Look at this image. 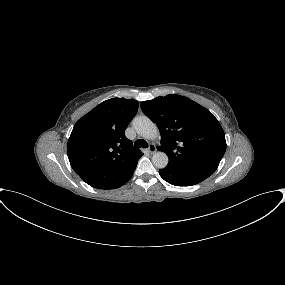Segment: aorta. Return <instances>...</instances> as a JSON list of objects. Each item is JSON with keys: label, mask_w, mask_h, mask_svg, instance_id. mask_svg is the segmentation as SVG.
I'll use <instances>...</instances> for the list:
<instances>
[{"label": "aorta", "mask_w": 285, "mask_h": 285, "mask_svg": "<svg viewBox=\"0 0 285 285\" xmlns=\"http://www.w3.org/2000/svg\"><path fill=\"white\" fill-rule=\"evenodd\" d=\"M133 127L136 132L146 138L155 139L159 136V130L155 123H153L146 116H138L133 120ZM168 156L165 152H155L152 156V162L157 168H165L168 164Z\"/></svg>", "instance_id": "obj_1"}]
</instances>
